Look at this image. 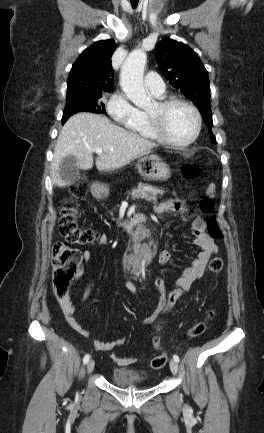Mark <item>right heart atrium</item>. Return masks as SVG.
<instances>
[{"label": "right heart atrium", "mask_w": 264, "mask_h": 433, "mask_svg": "<svg viewBox=\"0 0 264 433\" xmlns=\"http://www.w3.org/2000/svg\"><path fill=\"white\" fill-rule=\"evenodd\" d=\"M106 111L109 116L122 125L134 123L138 117V109L121 91H116L106 100Z\"/></svg>", "instance_id": "1"}]
</instances>
